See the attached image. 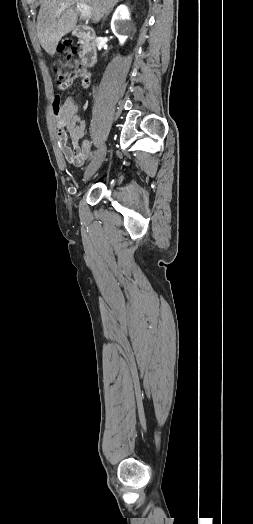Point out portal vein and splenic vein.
<instances>
[{
    "mask_svg": "<svg viewBox=\"0 0 253 524\" xmlns=\"http://www.w3.org/2000/svg\"><path fill=\"white\" fill-rule=\"evenodd\" d=\"M78 11L81 13L82 17H84L85 19H88L91 17V10H90V7L88 5H85L83 3H76L75 4ZM68 5H62L61 7V10L67 8Z\"/></svg>",
    "mask_w": 253,
    "mask_h": 524,
    "instance_id": "1",
    "label": "portal vein and splenic vein"
}]
</instances>
